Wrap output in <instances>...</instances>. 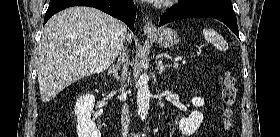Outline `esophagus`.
Returning a JSON list of instances; mask_svg holds the SVG:
<instances>
[{
  "mask_svg": "<svg viewBox=\"0 0 280 137\" xmlns=\"http://www.w3.org/2000/svg\"><path fill=\"white\" fill-rule=\"evenodd\" d=\"M144 32L146 34H154L156 32L155 25L150 21L146 22L144 25Z\"/></svg>",
  "mask_w": 280,
  "mask_h": 137,
  "instance_id": "obj_1",
  "label": "esophagus"
}]
</instances>
